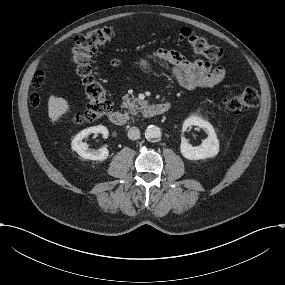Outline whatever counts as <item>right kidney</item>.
<instances>
[{"instance_id": "1", "label": "right kidney", "mask_w": 285, "mask_h": 285, "mask_svg": "<svg viewBox=\"0 0 285 285\" xmlns=\"http://www.w3.org/2000/svg\"><path fill=\"white\" fill-rule=\"evenodd\" d=\"M91 133H101L104 137L108 135V130L104 126H94L82 130L78 133L71 143V148L81 158L92 161H104L109 158V151L107 148H102L98 151L88 149V146L83 143V139Z\"/></svg>"}]
</instances>
